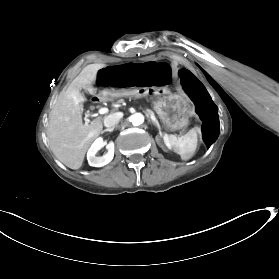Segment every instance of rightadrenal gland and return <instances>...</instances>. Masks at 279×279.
Instances as JSON below:
<instances>
[{
	"label": "right adrenal gland",
	"mask_w": 279,
	"mask_h": 279,
	"mask_svg": "<svg viewBox=\"0 0 279 279\" xmlns=\"http://www.w3.org/2000/svg\"><path fill=\"white\" fill-rule=\"evenodd\" d=\"M113 129L114 128H112V129L107 128V129H104L101 133H104V132H107V131H113Z\"/></svg>",
	"instance_id": "2a0ac1e0"
}]
</instances>
